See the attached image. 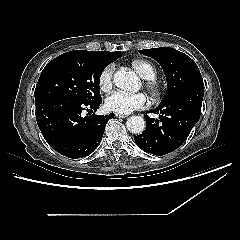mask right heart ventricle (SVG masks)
Returning <instances> with one entry per match:
<instances>
[{"instance_id":"e07e8e85","label":"right heart ventricle","mask_w":240,"mask_h":240,"mask_svg":"<svg viewBox=\"0 0 240 240\" xmlns=\"http://www.w3.org/2000/svg\"><path fill=\"white\" fill-rule=\"evenodd\" d=\"M132 67L142 79H151L156 75L154 66L144 59H135L132 61Z\"/></svg>"}]
</instances>
